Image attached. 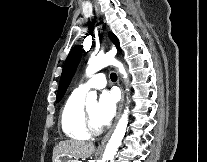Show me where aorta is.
Wrapping results in <instances>:
<instances>
[{
    "instance_id": "1",
    "label": "aorta",
    "mask_w": 207,
    "mask_h": 162,
    "mask_svg": "<svg viewBox=\"0 0 207 162\" xmlns=\"http://www.w3.org/2000/svg\"><path fill=\"white\" fill-rule=\"evenodd\" d=\"M108 65H113L116 68H118V71L123 75L125 79H127V73L125 71L123 64L118 60H116L113 56L108 54H98L96 56H91L90 59L88 60L86 75L91 76ZM96 100H97L96 92L91 91L87 94V98H86L87 104L96 103ZM128 113H129V109L128 107H126L121 118L118 121V124L113 134L111 135L110 140L106 145L102 162H108V161L112 162V160L114 159V156L126 132V128L128 124Z\"/></svg>"
}]
</instances>
